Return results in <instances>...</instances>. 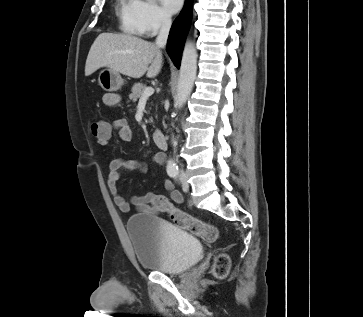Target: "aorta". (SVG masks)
<instances>
[{
	"instance_id": "obj_1",
	"label": "aorta",
	"mask_w": 363,
	"mask_h": 317,
	"mask_svg": "<svg viewBox=\"0 0 363 317\" xmlns=\"http://www.w3.org/2000/svg\"><path fill=\"white\" fill-rule=\"evenodd\" d=\"M197 72V51L192 42H187L184 46L179 78L177 85V95L175 98V107H182L188 100L194 85ZM176 164L173 160L167 163V170H175Z\"/></svg>"
}]
</instances>
